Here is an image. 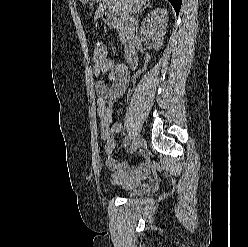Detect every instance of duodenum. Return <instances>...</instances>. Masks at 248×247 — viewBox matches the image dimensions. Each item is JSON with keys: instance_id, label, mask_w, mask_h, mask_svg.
<instances>
[{"instance_id": "1", "label": "duodenum", "mask_w": 248, "mask_h": 247, "mask_svg": "<svg viewBox=\"0 0 248 247\" xmlns=\"http://www.w3.org/2000/svg\"><path fill=\"white\" fill-rule=\"evenodd\" d=\"M103 19L106 24L113 26L120 31L121 38L123 40L127 65L129 68H134L137 64V46L139 39L136 35V23L132 20H116L110 13H104Z\"/></svg>"}]
</instances>
